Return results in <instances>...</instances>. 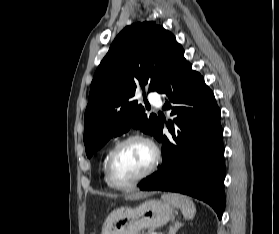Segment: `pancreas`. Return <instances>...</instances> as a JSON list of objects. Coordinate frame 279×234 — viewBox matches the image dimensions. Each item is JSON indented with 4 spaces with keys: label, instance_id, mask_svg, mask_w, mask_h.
Masks as SVG:
<instances>
[{
    "label": "pancreas",
    "instance_id": "obj_1",
    "mask_svg": "<svg viewBox=\"0 0 279 234\" xmlns=\"http://www.w3.org/2000/svg\"><path fill=\"white\" fill-rule=\"evenodd\" d=\"M146 234H157V233H153V232L149 231V232H148V233H146Z\"/></svg>",
    "mask_w": 279,
    "mask_h": 234
}]
</instances>
